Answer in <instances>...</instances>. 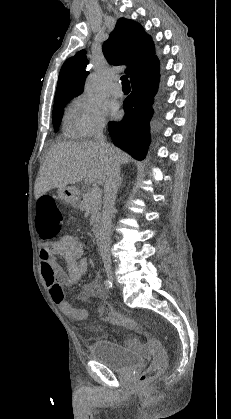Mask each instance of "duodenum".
Here are the masks:
<instances>
[{
	"instance_id": "obj_1",
	"label": "duodenum",
	"mask_w": 231,
	"mask_h": 419,
	"mask_svg": "<svg viewBox=\"0 0 231 419\" xmlns=\"http://www.w3.org/2000/svg\"><path fill=\"white\" fill-rule=\"evenodd\" d=\"M93 235H94L96 240L100 239L101 227L98 223H94V225H93Z\"/></svg>"
}]
</instances>
